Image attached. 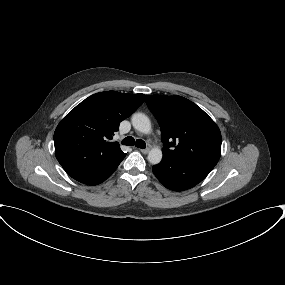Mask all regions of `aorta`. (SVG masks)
I'll use <instances>...</instances> for the list:
<instances>
[{"label":"aorta","instance_id":"obj_1","mask_svg":"<svg viewBox=\"0 0 285 285\" xmlns=\"http://www.w3.org/2000/svg\"><path fill=\"white\" fill-rule=\"evenodd\" d=\"M131 122L133 127L144 134H149L151 132V122L150 119L143 113H135L132 115ZM162 151L159 147L152 148L148 153V161L155 165L160 163L162 160Z\"/></svg>","mask_w":285,"mask_h":285}]
</instances>
